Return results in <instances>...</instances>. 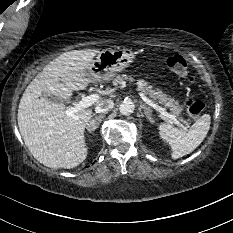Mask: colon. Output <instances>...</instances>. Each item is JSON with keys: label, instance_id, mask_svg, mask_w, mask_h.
<instances>
[{"label": "colon", "instance_id": "colon-1", "mask_svg": "<svg viewBox=\"0 0 233 233\" xmlns=\"http://www.w3.org/2000/svg\"><path fill=\"white\" fill-rule=\"evenodd\" d=\"M169 68L180 77H188V65L186 60L180 55H172L168 58ZM187 112L192 116H199L204 111L205 105L201 100L188 99L185 103Z\"/></svg>", "mask_w": 233, "mask_h": 233}]
</instances>
